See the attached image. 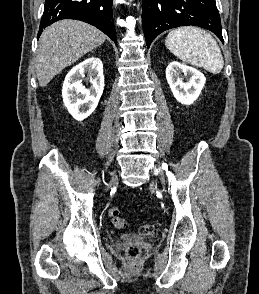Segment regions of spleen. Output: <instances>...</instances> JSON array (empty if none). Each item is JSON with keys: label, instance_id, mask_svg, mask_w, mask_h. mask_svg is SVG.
<instances>
[{"label": "spleen", "instance_id": "3e777b00", "mask_svg": "<svg viewBox=\"0 0 259 294\" xmlns=\"http://www.w3.org/2000/svg\"><path fill=\"white\" fill-rule=\"evenodd\" d=\"M165 46L179 59L191 65L203 67L218 74L223 69L224 60L215 39L197 27H179L172 30Z\"/></svg>", "mask_w": 259, "mask_h": 294}]
</instances>
